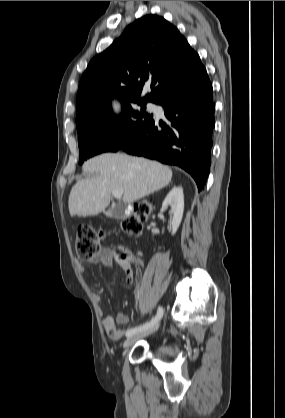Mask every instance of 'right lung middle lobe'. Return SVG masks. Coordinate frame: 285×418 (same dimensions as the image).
<instances>
[{
	"mask_svg": "<svg viewBox=\"0 0 285 418\" xmlns=\"http://www.w3.org/2000/svg\"><path fill=\"white\" fill-rule=\"evenodd\" d=\"M145 110L146 102H137ZM153 119L147 112L135 111L130 103L122 105V114L115 116L111 108L77 124L80 150L79 164L107 151H117Z\"/></svg>",
	"mask_w": 285,
	"mask_h": 418,
	"instance_id": "right-lung-middle-lobe-1",
	"label": "right lung middle lobe"
}]
</instances>
